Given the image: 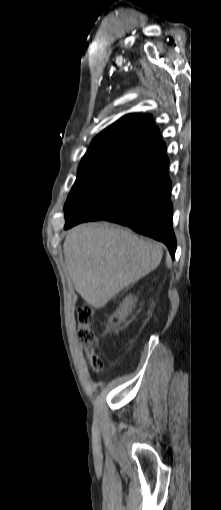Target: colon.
I'll return each instance as SVG.
<instances>
[{
	"instance_id": "colon-1",
	"label": "colon",
	"mask_w": 221,
	"mask_h": 510,
	"mask_svg": "<svg viewBox=\"0 0 221 510\" xmlns=\"http://www.w3.org/2000/svg\"><path fill=\"white\" fill-rule=\"evenodd\" d=\"M77 319L80 325L79 338L85 345V352L90 368L94 372H99L102 370L103 362L95 353L98 340L91 327L94 322V309L90 306H80L77 309Z\"/></svg>"
}]
</instances>
